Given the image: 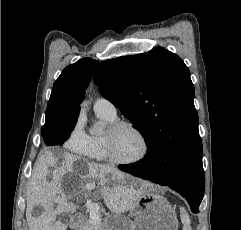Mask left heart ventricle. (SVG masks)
<instances>
[{
    "label": "left heart ventricle",
    "instance_id": "left-heart-ventricle-1",
    "mask_svg": "<svg viewBox=\"0 0 241 230\" xmlns=\"http://www.w3.org/2000/svg\"><path fill=\"white\" fill-rule=\"evenodd\" d=\"M115 156L121 160L137 158L143 150L140 137L130 128H121L113 138Z\"/></svg>",
    "mask_w": 241,
    "mask_h": 230
}]
</instances>
